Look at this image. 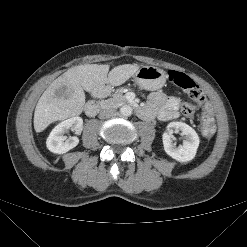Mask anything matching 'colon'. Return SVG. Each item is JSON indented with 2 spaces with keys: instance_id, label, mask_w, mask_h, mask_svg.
<instances>
[{
  "instance_id": "colon-1",
  "label": "colon",
  "mask_w": 247,
  "mask_h": 247,
  "mask_svg": "<svg viewBox=\"0 0 247 247\" xmlns=\"http://www.w3.org/2000/svg\"><path fill=\"white\" fill-rule=\"evenodd\" d=\"M168 77L170 82L185 91L196 103H185L181 108L184 116L192 117L195 114L197 107L205 102L204 91L188 75L182 72L170 70L168 72ZM200 129L205 138H212L215 134L214 110L209 103H205L202 107Z\"/></svg>"
}]
</instances>
